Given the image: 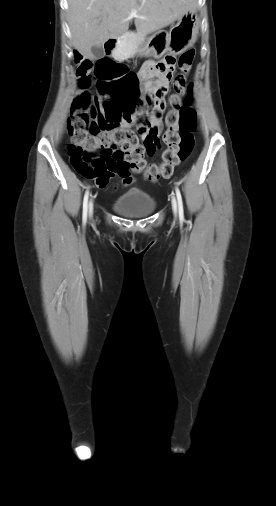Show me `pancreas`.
Listing matches in <instances>:
<instances>
[{
	"instance_id": "obj_1",
	"label": "pancreas",
	"mask_w": 276,
	"mask_h": 506,
	"mask_svg": "<svg viewBox=\"0 0 276 506\" xmlns=\"http://www.w3.org/2000/svg\"><path fill=\"white\" fill-rule=\"evenodd\" d=\"M144 36V33L127 32L123 37V41L117 45L113 53L114 57L123 59L130 51L138 49L144 42Z\"/></svg>"
}]
</instances>
